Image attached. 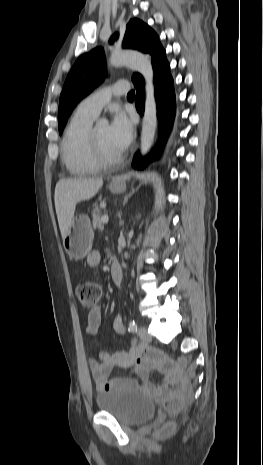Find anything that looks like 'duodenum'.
Instances as JSON below:
<instances>
[{
  "label": "duodenum",
  "instance_id": "duodenum-1",
  "mask_svg": "<svg viewBox=\"0 0 263 465\" xmlns=\"http://www.w3.org/2000/svg\"><path fill=\"white\" fill-rule=\"evenodd\" d=\"M111 276L115 284H120L122 281V268L117 261H113L111 265Z\"/></svg>",
  "mask_w": 263,
  "mask_h": 465
}]
</instances>
